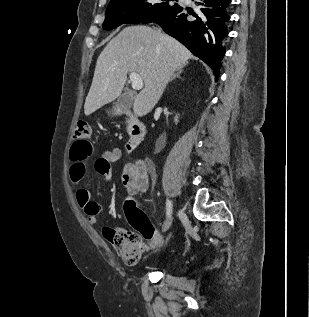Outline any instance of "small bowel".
<instances>
[{
    "instance_id": "c3829d8e",
    "label": "small bowel",
    "mask_w": 309,
    "mask_h": 317,
    "mask_svg": "<svg viewBox=\"0 0 309 317\" xmlns=\"http://www.w3.org/2000/svg\"><path fill=\"white\" fill-rule=\"evenodd\" d=\"M91 152L85 151L83 147L76 150V155L71 154V165L69 168V179L75 186L79 185L84 178L88 162L87 157ZM121 157V150L113 148L102 152L101 156L95 161V170L101 174L106 181L112 178L111 164L118 161ZM122 185L129 194H137L146 191L148 187V173L146 164L137 160L128 163L122 173ZM75 200L81 207L91 224L96 222L97 216L101 213V205L92 199L88 188H78L75 193Z\"/></svg>"
}]
</instances>
